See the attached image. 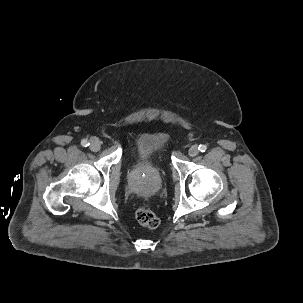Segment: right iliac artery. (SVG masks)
<instances>
[{
  "label": "right iliac artery",
  "mask_w": 303,
  "mask_h": 303,
  "mask_svg": "<svg viewBox=\"0 0 303 303\" xmlns=\"http://www.w3.org/2000/svg\"><path fill=\"white\" fill-rule=\"evenodd\" d=\"M81 145L83 147H87V146H89V142L86 139H84V140L81 141Z\"/></svg>",
  "instance_id": "right-iliac-artery-1"
}]
</instances>
